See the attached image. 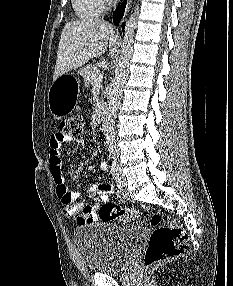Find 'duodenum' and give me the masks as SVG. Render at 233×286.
<instances>
[{"instance_id":"1","label":"duodenum","mask_w":233,"mask_h":286,"mask_svg":"<svg viewBox=\"0 0 233 286\" xmlns=\"http://www.w3.org/2000/svg\"><path fill=\"white\" fill-rule=\"evenodd\" d=\"M98 122L101 129L106 127V112L104 109H101L98 113Z\"/></svg>"}]
</instances>
